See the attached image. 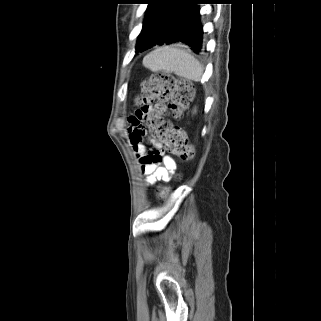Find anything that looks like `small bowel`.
Masks as SVG:
<instances>
[{
	"instance_id": "c3829d8e",
	"label": "small bowel",
	"mask_w": 321,
	"mask_h": 321,
	"mask_svg": "<svg viewBox=\"0 0 321 321\" xmlns=\"http://www.w3.org/2000/svg\"><path fill=\"white\" fill-rule=\"evenodd\" d=\"M163 112L164 110L158 111L156 107L141 108L129 118L130 144L139 158L147 184H154L156 181H168L170 174L176 169V163L172 157L165 154L157 157L159 145L152 136L150 141L153 148L148 150L144 144V139L148 136V133L151 135L150 121ZM146 124L149 126V132L145 127Z\"/></svg>"
}]
</instances>
